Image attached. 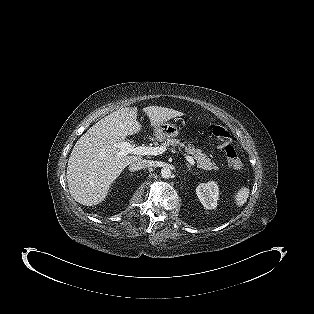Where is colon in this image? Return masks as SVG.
<instances>
[{
	"label": "colon",
	"instance_id": "obj_1",
	"mask_svg": "<svg viewBox=\"0 0 314 314\" xmlns=\"http://www.w3.org/2000/svg\"><path fill=\"white\" fill-rule=\"evenodd\" d=\"M209 130L213 136L220 141V147L224 152V155L231 168L239 170L242 168L243 163L238 156L235 147L230 143V134L228 130L219 122L215 121L210 124Z\"/></svg>",
	"mask_w": 314,
	"mask_h": 314
}]
</instances>
